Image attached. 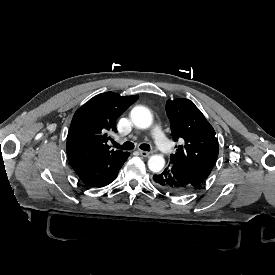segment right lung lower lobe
Returning a JSON list of instances; mask_svg holds the SVG:
<instances>
[{
	"label": "right lung lower lobe",
	"mask_w": 275,
	"mask_h": 275,
	"mask_svg": "<svg viewBox=\"0 0 275 275\" xmlns=\"http://www.w3.org/2000/svg\"><path fill=\"white\" fill-rule=\"evenodd\" d=\"M129 155L130 153L124 152L118 156L100 158L73 165L72 168L84 184L93 187H102L115 180L119 169L123 166Z\"/></svg>",
	"instance_id": "98d812e1"
}]
</instances>
